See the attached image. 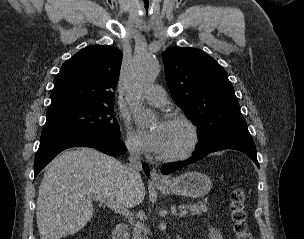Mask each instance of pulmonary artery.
Masks as SVG:
<instances>
[{
    "mask_svg": "<svg viewBox=\"0 0 304 239\" xmlns=\"http://www.w3.org/2000/svg\"><path fill=\"white\" fill-rule=\"evenodd\" d=\"M144 99L153 106H163L167 101L166 93L159 85H152L144 92Z\"/></svg>",
    "mask_w": 304,
    "mask_h": 239,
    "instance_id": "obj_1",
    "label": "pulmonary artery"
}]
</instances>
